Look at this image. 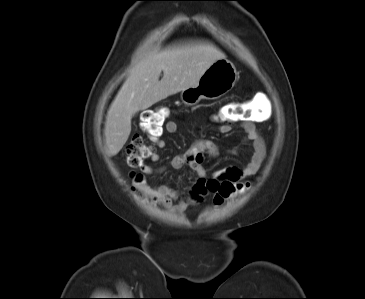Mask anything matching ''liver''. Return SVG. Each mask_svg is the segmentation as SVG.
Instances as JSON below:
<instances>
[{"mask_svg": "<svg viewBox=\"0 0 365 299\" xmlns=\"http://www.w3.org/2000/svg\"><path fill=\"white\" fill-rule=\"evenodd\" d=\"M222 58L225 54L211 43L189 42L142 59L132 68L107 112L104 136L109 154H118L125 145L134 113L196 85L207 68Z\"/></svg>", "mask_w": 365, "mask_h": 299, "instance_id": "1", "label": "liver"}]
</instances>
